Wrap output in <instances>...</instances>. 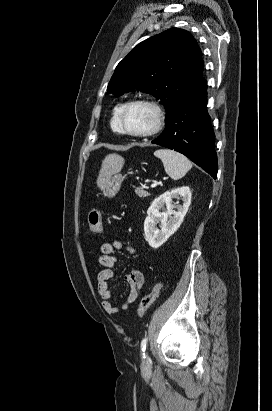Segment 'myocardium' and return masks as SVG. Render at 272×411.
I'll list each match as a JSON object with an SVG mask.
<instances>
[{
	"label": "myocardium",
	"mask_w": 272,
	"mask_h": 411,
	"mask_svg": "<svg viewBox=\"0 0 272 411\" xmlns=\"http://www.w3.org/2000/svg\"><path fill=\"white\" fill-rule=\"evenodd\" d=\"M135 105H142L148 107L154 114V122L152 126L144 131L141 132H132L125 128L124 125V115L126 111ZM118 124L122 134L134 137V138H148L154 136L155 134L159 133L164 125V112L160 105L152 100L148 99H133L126 102L123 107L121 108L118 116Z\"/></svg>",
	"instance_id": "1"
}]
</instances>
